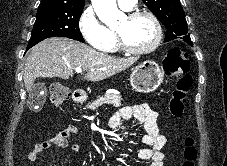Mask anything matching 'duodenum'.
Segmentation results:
<instances>
[{
  "label": "duodenum",
  "mask_w": 227,
  "mask_h": 166,
  "mask_svg": "<svg viewBox=\"0 0 227 166\" xmlns=\"http://www.w3.org/2000/svg\"><path fill=\"white\" fill-rule=\"evenodd\" d=\"M73 98L76 102H82L84 100L83 94L80 90L73 91Z\"/></svg>",
  "instance_id": "duodenum-1"
}]
</instances>
